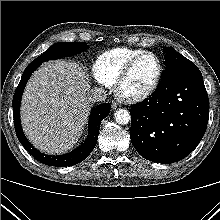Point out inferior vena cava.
Wrapping results in <instances>:
<instances>
[{
  "label": "inferior vena cava",
  "instance_id": "602c4592",
  "mask_svg": "<svg viewBox=\"0 0 220 220\" xmlns=\"http://www.w3.org/2000/svg\"><path fill=\"white\" fill-rule=\"evenodd\" d=\"M107 98L106 91L102 88H93L91 89L89 100L94 102L105 101Z\"/></svg>",
  "mask_w": 220,
  "mask_h": 220
}]
</instances>
